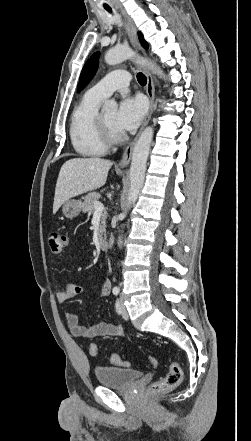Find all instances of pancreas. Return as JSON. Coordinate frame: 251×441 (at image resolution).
<instances>
[{
    "mask_svg": "<svg viewBox=\"0 0 251 441\" xmlns=\"http://www.w3.org/2000/svg\"><path fill=\"white\" fill-rule=\"evenodd\" d=\"M99 198H100V194L97 192L88 193L84 197V202L82 204L83 205V212L87 213L88 217L94 213V211H95L94 202L98 201ZM106 219H107V214L103 213L102 218H101L100 228H99V237H101L103 234H105Z\"/></svg>",
    "mask_w": 251,
    "mask_h": 441,
    "instance_id": "cf45deb5",
    "label": "pancreas"
}]
</instances>
